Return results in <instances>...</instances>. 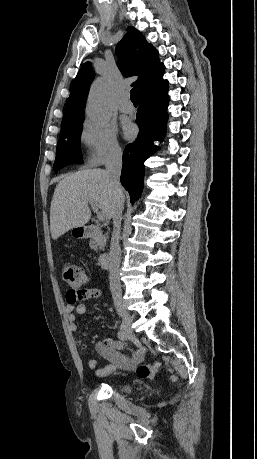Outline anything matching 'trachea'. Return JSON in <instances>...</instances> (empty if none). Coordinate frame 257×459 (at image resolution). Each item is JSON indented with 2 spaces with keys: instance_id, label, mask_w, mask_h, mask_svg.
<instances>
[{
  "instance_id": "1",
  "label": "trachea",
  "mask_w": 257,
  "mask_h": 459,
  "mask_svg": "<svg viewBox=\"0 0 257 459\" xmlns=\"http://www.w3.org/2000/svg\"><path fill=\"white\" fill-rule=\"evenodd\" d=\"M130 98H131V101H136V102L139 101V94H138L137 88L131 89Z\"/></svg>"
}]
</instances>
